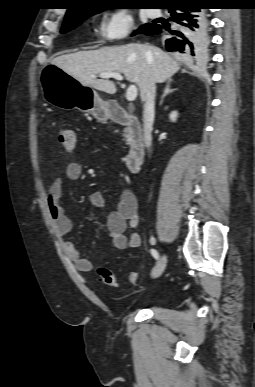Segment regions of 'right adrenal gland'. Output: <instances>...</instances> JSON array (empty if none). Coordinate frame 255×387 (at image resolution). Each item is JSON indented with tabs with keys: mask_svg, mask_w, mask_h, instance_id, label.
<instances>
[{
	"mask_svg": "<svg viewBox=\"0 0 255 387\" xmlns=\"http://www.w3.org/2000/svg\"><path fill=\"white\" fill-rule=\"evenodd\" d=\"M171 83H172V80L169 79L166 81V84H165V87H164V90H163V94L161 96V99H160V102H159V105H162L163 104V101H164V98L169 95L170 93L174 92L176 89H171Z\"/></svg>",
	"mask_w": 255,
	"mask_h": 387,
	"instance_id": "right-adrenal-gland-1",
	"label": "right adrenal gland"
}]
</instances>
